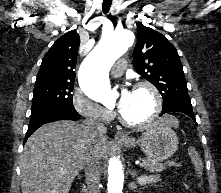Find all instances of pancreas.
Returning <instances> with one entry per match:
<instances>
[{"mask_svg":"<svg viewBox=\"0 0 221 193\" xmlns=\"http://www.w3.org/2000/svg\"><path fill=\"white\" fill-rule=\"evenodd\" d=\"M143 163L145 164L144 168L150 172H161L168 167H172L175 165L174 161H167L166 163L153 161L150 159H143Z\"/></svg>","mask_w":221,"mask_h":193,"instance_id":"cf45deb5","label":"pancreas"}]
</instances>
